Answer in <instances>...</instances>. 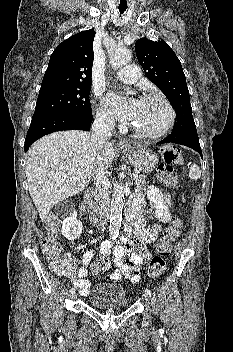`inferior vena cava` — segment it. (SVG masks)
Here are the masks:
<instances>
[{
    "mask_svg": "<svg viewBox=\"0 0 233 352\" xmlns=\"http://www.w3.org/2000/svg\"><path fill=\"white\" fill-rule=\"evenodd\" d=\"M114 121L105 114H97L92 124V141L97 151V159L94 164L92 178L94 181L95 200L97 202V217L94 222L97 226L106 224L109 217V181L107 177V168L105 167L101 151L107 141L111 138Z\"/></svg>",
    "mask_w": 233,
    "mask_h": 352,
    "instance_id": "obj_1",
    "label": "inferior vena cava"
}]
</instances>
